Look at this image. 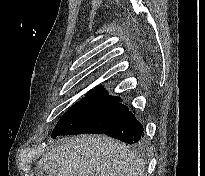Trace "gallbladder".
Listing matches in <instances>:
<instances>
[{"label":"gallbladder","mask_w":205,"mask_h":176,"mask_svg":"<svg viewBox=\"0 0 205 176\" xmlns=\"http://www.w3.org/2000/svg\"><path fill=\"white\" fill-rule=\"evenodd\" d=\"M34 174H35V176H46V172L40 166H37L35 168Z\"/></svg>","instance_id":"obj_1"}]
</instances>
